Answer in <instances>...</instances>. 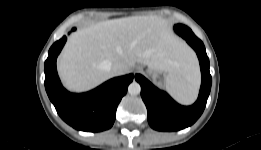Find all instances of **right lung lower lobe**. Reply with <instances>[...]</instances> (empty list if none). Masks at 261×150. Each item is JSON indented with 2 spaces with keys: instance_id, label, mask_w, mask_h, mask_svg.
Returning a JSON list of instances; mask_svg holds the SVG:
<instances>
[{
  "instance_id": "right-lung-lower-lobe-1",
  "label": "right lung lower lobe",
  "mask_w": 261,
  "mask_h": 150,
  "mask_svg": "<svg viewBox=\"0 0 261 150\" xmlns=\"http://www.w3.org/2000/svg\"><path fill=\"white\" fill-rule=\"evenodd\" d=\"M66 39L64 36L49 50L44 64L46 92L59 116L73 128L88 132L109 129L115 121L117 106L133 80V74L113 78L87 93L68 92L61 85L56 71V58Z\"/></svg>"
}]
</instances>
